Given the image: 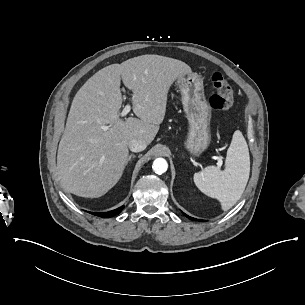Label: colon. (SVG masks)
Here are the masks:
<instances>
[{
	"mask_svg": "<svg viewBox=\"0 0 305 305\" xmlns=\"http://www.w3.org/2000/svg\"><path fill=\"white\" fill-rule=\"evenodd\" d=\"M214 94L209 98L210 106L215 110H226L233 105V93L229 82L221 72H213L210 76Z\"/></svg>",
	"mask_w": 305,
	"mask_h": 305,
	"instance_id": "obj_1",
	"label": "colon"
}]
</instances>
